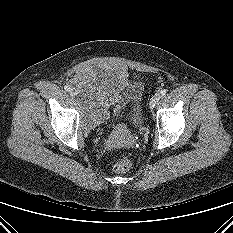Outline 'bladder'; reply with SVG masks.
Here are the masks:
<instances>
[{
  "label": "bladder",
  "mask_w": 233,
  "mask_h": 233,
  "mask_svg": "<svg viewBox=\"0 0 233 233\" xmlns=\"http://www.w3.org/2000/svg\"><path fill=\"white\" fill-rule=\"evenodd\" d=\"M71 87L85 127L95 128L112 116L118 119L125 114L134 129L144 125L143 85L132 80L127 71L96 62L86 63L72 79Z\"/></svg>",
  "instance_id": "obj_1"
}]
</instances>
